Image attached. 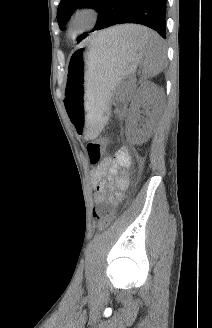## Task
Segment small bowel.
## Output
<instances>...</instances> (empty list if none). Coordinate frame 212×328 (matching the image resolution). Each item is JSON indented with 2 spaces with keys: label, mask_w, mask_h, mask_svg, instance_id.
<instances>
[{
  "label": "small bowel",
  "mask_w": 212,
  "mask_h": 328,
  "mask_svg": "<svg viewBox=\"0 0 212 328\" xmlns=\"http://www.w3.org/2000/svg\"><path fill=\"white\" fill-rule=\"evenodd\" d=\"M131 157L126 148H120L113 156L104 158L96 165L90 174V179L96 191V201L100 204L115 205L123 198V192L128 186V169ZM105 178L112 180L109 184ZM112 191L113 194L108 196Z\"/></svg>",
  "instance_id": "c3829d8e"
}]
</instances>
